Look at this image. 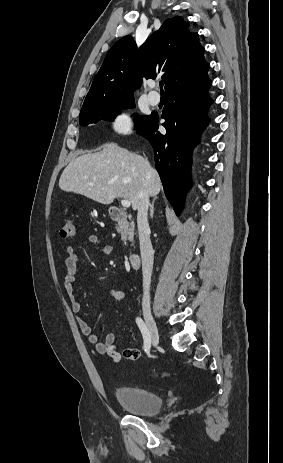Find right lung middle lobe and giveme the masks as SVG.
Instances as JSON below:
<instances>
[{"mask_svg": "<svg viewBox=\"0 0 283 463\" xmlns=\"http://www.w3.org/2000/svg\"><path fill=\"white\" fill-rule=\"evenodd\" d=\"M134 98H112L82 106L79 115V124L86 126L100 120L114 121L122 109L133 108ZM148 116L136 121L137 130L142 127Z\"/></svg>", "mask_w": 283, "mask_h": 463, "instance_id": "1", "label": "right lung middle lobe"}]
</instances>
